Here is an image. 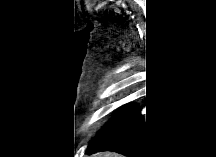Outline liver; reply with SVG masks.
<instances>
[{
  "mask_svg": "<svg viewBox=\"0 0 216 157\" xmlns=\"http://www.w3.org/2000/svg\"><path fill=\"white\" fill-rule=\"evenodd\" d=\"M93 157H120L119 154L116 153H97L94 154Z\"/></svg>",
  "mask_w": 216,
  "mask_h": 157,
  "instance_id": "liver-1",
  "label": "liver"
}]
</instances>
